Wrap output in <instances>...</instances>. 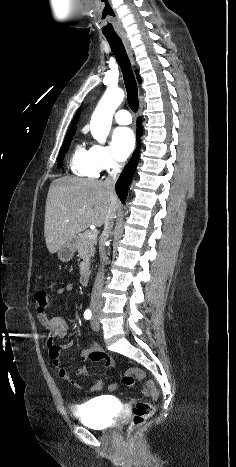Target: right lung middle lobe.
Segmentation results:
<instances>
[{"mask_svg": "<svg viewBox=\"0 0 236 467\" xmlns=\"http://www.w3.org/2000/svg\"><path fill=\"white\" fill-rule=\"evenodd\" d=\"M75 133H71V134H67L66 138H65V141L60 149V153H59V156H58V167H61L62 165V160L65 156V153L66 151L68 150L69 146H70V142L73 138V135Z\"/></svg>", "mask_w": 236, "mask_h": 467, "instance_id": "dd1d6c3e", "label": "right lung middle lobe"}]
</instances>
